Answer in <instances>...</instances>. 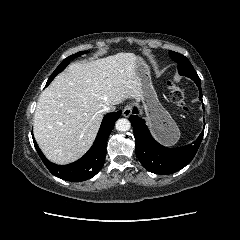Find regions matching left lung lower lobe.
Instances as JSON below:
<instances>
[{"instance_id":"left-lung-lower-lobe-1","label":"left lung lower lobe","mask_w":240,"mask_h":240,"mask_svg":"<svg viewBox=\"0 0 240 240\" xmlns=\"http://www.w3.org/2000/svg\"><path fill=\"white\" fill-rule=\"evenodd\" d=\"M199 89V99L202 101L201 80L191 78ZM134 131L135 152L141 164L155 174L174 173L191 162L203 138L204 131L193 143L179 147L167 148L156 142L145 125V121L138 117V110L134 107L133 115L129 117Z\"/></svg>"}]
</instances>
